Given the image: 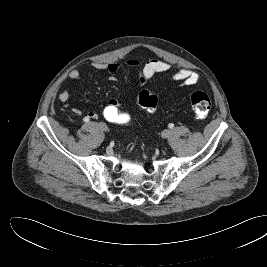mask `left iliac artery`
Wrapping results in <instances>:
<instances>
[{"label": "left iliac artery", "instance_id": "44dca946", "mask_svg": "<svg viewBox=\"0 0 267 267\" xmlns=\"http://www.w3.org/2000/svg\"><path fill=\"white\" fill-rule=\"evenodd\" d=\"M168 126H169V128H173L174 124L170 123Z\"/></svg>", "mask_w": 267, "mask_h": 267}]
</instances>
